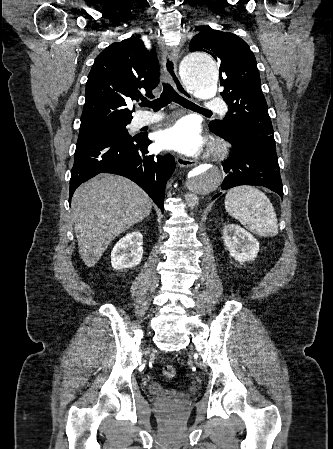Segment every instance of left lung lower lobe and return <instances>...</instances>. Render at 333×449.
I'll list each match as a JSON object with an SVG mask.
<instances>
[{
  "label": "left lung lower lobe",
  "instance_id": "left-lung-lower-lobe-1",
  "mask_svg": "<svg viewBox=\"0 0 333 449\" xmlns=\"http://www.w3.org/2000/svg\"><path fill=\"white\" fill-rule=\"evenodd\" d=\"M216 135L233 144L230 158L223 164L226 177L223 189L239 185L264 186L283 198V185L276 150L252 138H229L222 133ZM216 194L212 199L217 198Z\"/></svg>",
  "mask_w": 333,
  "mask_h": 449
}]
</instances>
